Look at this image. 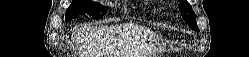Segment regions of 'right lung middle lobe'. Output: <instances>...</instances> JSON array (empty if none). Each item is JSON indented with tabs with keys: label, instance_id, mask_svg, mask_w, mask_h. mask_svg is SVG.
Returning <instances> with one entry per match:
<instances>
[{
	"label": "right lung middle lobe",
	"instance_id": "1",
	"mask_svg": "<svg viewBox=\"0 0 249 57\" xmlns=\"http://www.w3.org/2000/svg\"><path fill=\"white\" fill-rule=\"evenodd\" d=\"M106 12V6L91 0H73L70 7L66 10L65 20L75 19L81 13H86L94 19H101Z\"/></svg>",
	"mask_w": 249,
	"mask_h": 57
}]
</instances>
